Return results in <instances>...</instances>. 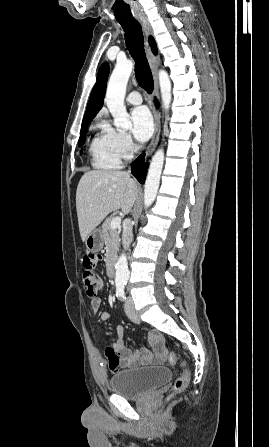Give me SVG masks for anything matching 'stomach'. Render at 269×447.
I'll return each instance as SVG.
<instances>
[{
	"label": "stomach",
	"mask_w": 269,
	"mask_h": 447,
	"mask_svg": "<svg viewBox=\"0 0 269 447\" xmlns=\"http://www.w3.org/2000/svg\"><path fill=\"white\" fill-rule=\"evenodd\" d=\"M85 245L89 251H100L104 245V235L102 229H93L85 239Z\"/></svg>",
	"instance_id": "obj_1"
}]
</instances>
